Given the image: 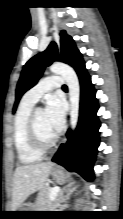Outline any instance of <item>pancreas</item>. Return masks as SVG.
<instances>
[{
  "mask_svg": "<svg viewBox=\"0 0 123 219\" xmlns=\"http://www.w3.org/2000/svg\"><path fill=\"white\" fill-rule=\"evenodd\" d=\"M50 192V187H44L40 191L35 203V208L37 211H51V209L54 207V202H51L49 199Z\"/></svg>",
  "mask_w": 123,
  "mask_h": 219,
  "instance_id": "obj_1",
  "label": "pancreas"
}]
</instances>
